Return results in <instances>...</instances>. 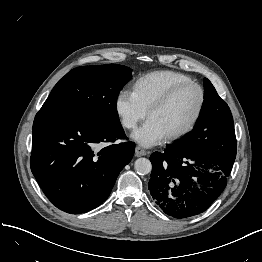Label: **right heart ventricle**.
<instances>
[{"label":"right heart ventricle","mask_w":262,"mask_h":262,"mask_svg":"<svg viewBox=\"0 0 262 262\" xmlns=\"http://www.w3.org/2000/svg\"><path fill=\"white\" fill-rule=\"evenodd\" d=\"M191 81L182 73L160 70L141 76L133 85V93L145 110L157 102L174 86Z\"/></svg>","instance_id":"obj_1"}]
</instances>
